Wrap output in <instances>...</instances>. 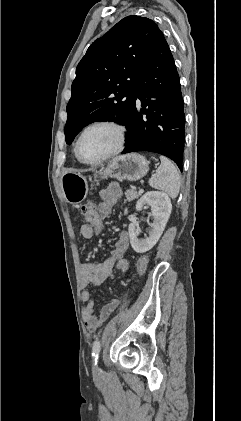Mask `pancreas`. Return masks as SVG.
Listing matches in <instances>:
<instances>
[{"label": "pancreas", "mask_w": 241, "mask_h": 421, "mask_svg": "<svg viewBox=\"0 0 241 421\" xmlns=\"http://www.w3.org/2000/svg\"><path fill=\"white\" fill-rule=\"evenodd\" d=\"M139 195H140V193H138L136 190H134V189H128V190H126V192H125V196H126V198H127V200L128 201H132V200H134V199H136V198H138L139 197Z\"/></svg>", "instance_id": "1"}]
</instances>
